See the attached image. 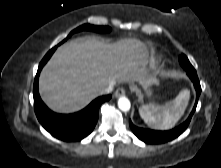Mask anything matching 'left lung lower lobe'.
<instances>
[{"instance_id": "1", "label": "left lung lower lobe", "mask_w": 221, "mask_h": 168, "mask_svg": "<svg viewBox=\"0 0 221 168\" xmlns=\"http://www.w3.org/2000/svg\"><path fill=\"white\" fill-rule=\"evenodd\" d=\"M189 78L192 80L194 87L196 89V102L193 107L192 112L190 113L189 117L185 122H183L181 125L168 130V131H156V130H150V129H144V128H139L129 121V125L133 131V133L143 142L147 144H161V143H166L168 141H171L175 138H177L180 134H182L188 127L192 115L194 114L196 110V106L198 103V98L201 93V86L200 82L197 76V73H189L187 74Z\"/></svg>"}]
</instances>
